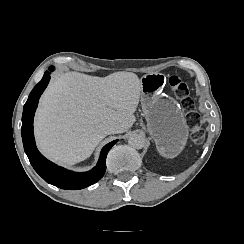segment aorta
I'll use <instances>...</instances> for the list:
<instances>
[{
  "label": "aorta",
  "instance_id": "obj_1",
  "mask_svg": "<svg viewBox=\"0 0 244 244\" xmlns=\"http://www.w3.org/2000/svg\"><path fill=\"white\" fill-rule=\"evenodd\" d=\"M144 143V138L139 134H131L128 138V144L135 149H142Z\"/></svg>",
  "mask_w": 244,
  "mask_h": 244
}]
</instances>
